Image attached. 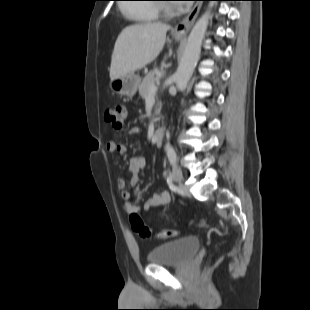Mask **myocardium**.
Wrapping results in <instances>:
<instances>
[{"mask_svg": "<svg viewBox=\"0 0 310 310\" xmlns=\"http://www.w3.org/2000/svg\"><path fill=\"white\" fill-rule=\"evenodd\" d=\"M158 9L165 15H171L173 13L169 5H160Z\"/></svg>", "mask_w": 310, "mask_h": 310, "instance_id": "1", "label": "myocardium"}]
</instances>
